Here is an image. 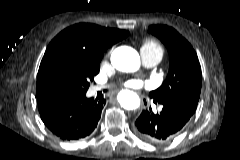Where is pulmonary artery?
I'll return each instance as SVG.
<instances>
[{
	"instance_id": "obj_1",
	"label": "pulmonary artery",
	"mask_w": 240,
	"mask_h": 160,
	"mask_svg": "<svg viewBox=\"0 0 240 160\" xmlns=\"http://www.w3.org/2000/svg\"><path fill=\"white\" fill-rule=\"evenodd\" d=\"M141 58L144 66L153 67L161 61L162 54L156 51L141 49ZM96 89H99V87H96Z\"/></svg>"
}]
</instances>
